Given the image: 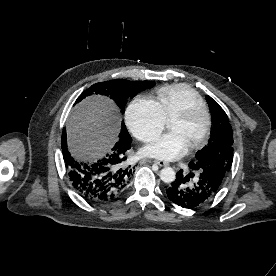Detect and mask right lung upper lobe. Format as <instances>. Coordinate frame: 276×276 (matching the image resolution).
I'll list each match as a JSON object with an SVG mask.
<instances>
[{"instance_id":"right-lung-upper-lobe-1","label":"right lung upper lobe","mask_w":276,"mask_h":276,"mask_svg":"<svg viewBox=\"0 0 276 276\" xmlns=\"http://www.w3.org/2000/svg\"><path fill=\"white\" fill-rule=\"evenodd\" d=\"M125 140H120L119 142H124Z\"/></svg>"}]
</instances>
